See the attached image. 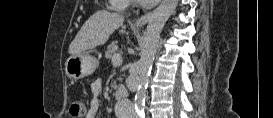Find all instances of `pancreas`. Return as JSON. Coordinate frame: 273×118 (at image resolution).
Masks as SVG:
<instances>
[{
	"label": "pancreas",
	"mask_w": 273,
	"mask_h": 118,
	"mask_svg": "<svg viewBox=\"0 0 273 118\" xmlns=\"http://www.w3.org/2000/svg\"><path fill=\"white\" fill-rule=\"evenodd\" d=\"M118 50V45H117V42H112L108 47H107V50H106V53H105V56L106 58H112L114 54H116Z\"/></svg>",
	"instance_id": "pancreas-1"
}]
</instances>
